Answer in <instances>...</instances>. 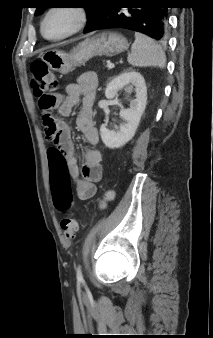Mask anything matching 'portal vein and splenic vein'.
<instances>
[{
	"label": "portal vein and splenic vein",
	"mask_w": 213,
	"mask_h": 338,
	"mask_svg": "<svg viewBox=\"0 0 213 338\" xmlns=\"http://www.w3.org/2000/svg\"><path fill=\"white\" fill-rule=\"evenodd\" d=\"M107 68L112 69L114 68V64L112 62L107 63Z\"/></svg>",
	"instance_id": "obj_1"
}]
</instances>
